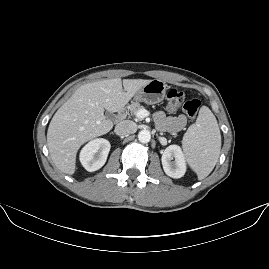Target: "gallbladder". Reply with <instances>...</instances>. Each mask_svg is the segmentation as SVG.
I'll list each match as a JSON object with an SVG mask.
<instances>
[{
	"mask_svg": "<svg viewBox=\"0 0 269 269\" xmlns=\"http://www.w3.org/2000/svg\"><path fill=\"white\" fill-rule=\"evenodd\" d=\"M105 114H106L108 119H111L113 117V113L110 111H106Z\"/></svg>",
	"mask_w": 269,
	"mask_h": 269,
	"instance_id": "1",
	"label": "gallbladder"
}]
</instances>
